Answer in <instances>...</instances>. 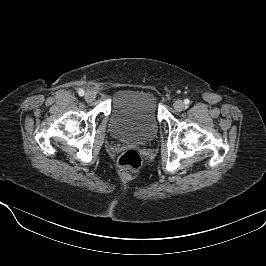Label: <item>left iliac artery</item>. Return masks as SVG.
I'll use <instances>...</instances> for the list:
<instances>
[{
  "label": "left iliac artery",
  "mask_w": 266,
  "mask_h": 266,
  "mask_svg": "<svg viewBox=\"0 0 266 266\" xmlns=\"http://www.w3.org/2000/svg\"><path fill=\"white\" fill-rule=\"evenodd\" d=\"M189 103H190V100L189 99H185L184 100V104L189 105Z\"/></svg>",
  "instance_id": "1"
}]
</instances>
